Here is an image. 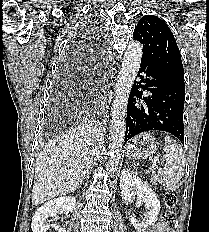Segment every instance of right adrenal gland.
<instances>
[{
    "mask_svg": "<svg viewBox=\"0 0 209 232\" xmlns=\"http://www.w3.org/2000/svg\"><path fill=\"white\" fill-rule=\"evenodd\" d=\"M84 179H89V173L84 177Z\"/></svg>",
    "mask_w": 209,
    "mask_h": 232,
    "instance_id": "obj_1",
    "label": "right adrenal gland"
}]
</instances>
